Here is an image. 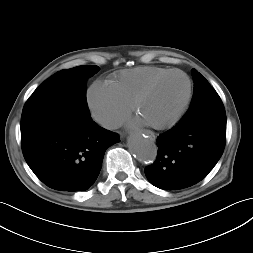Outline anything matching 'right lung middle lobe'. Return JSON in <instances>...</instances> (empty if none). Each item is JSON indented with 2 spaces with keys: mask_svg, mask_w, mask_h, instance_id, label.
<instances>
[{
  "mask_svg": "<svg viewBox=\"0 0 253 253\" xmlns=\"http://www.w3.org/2000/svg\"><path fill=\"white\" fill-rule=\"evenodd\" d=\"M99 69L98 66H78L59 71L45 80L25 103L21 126L58 111L90 114L86 102V81Z\"/></svg>",
  "mask_w": 253,
  "mask_h": 253,
  "instance_id": "right-lung-middle-lobe-1",
  "label": "right lung middle lobe"
}]
</instances>
